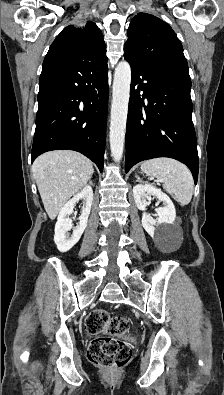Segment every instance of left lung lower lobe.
I'll use <instances>...</instances> for the list:
<instances>
[{
    "mask_svg": "<svg viewBox=\"0 0 224 395\" xmlns=\"http://www.w3.org/2000/svg\"><path fill=\"white\" fill-rule=\"evenodd\" d=\"M124 57L132 72L125 171L142 160L169 157L186 164L196 183L199 166L191 80Z\"/></svg>",
    "mask_w": 224,
    "mask_h": 395,
    "instance_id": "1",
    "label": "left lung lower lobe"
}]
</instances>
